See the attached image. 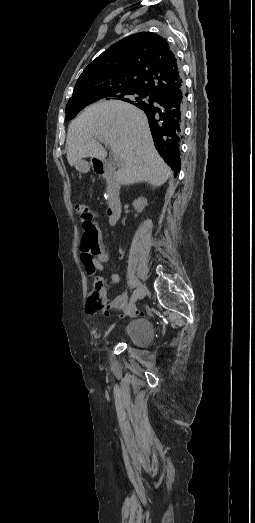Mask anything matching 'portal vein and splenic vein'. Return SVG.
I'll use <instances>...</instances> for the list:
<instances>
[{"label": "portal vein and splenic vein", "mask_w": 255, "mask_h": 523, "mask_svg": "<svg viewBox=\"0 0 255 523\" xmlns=\"http://www.w3.org/2000/svg\"><path fill=\"white\" fill-rule=\"evenodd\" d=\"M115 156H116V154H115ZM114 162H117V164L115 166V171H120V169L123 167L121 158H118V156H116V158H114Z\"/></svg>", "instance_id": "portal-vein-and-splenic-vein-1"}]
</instances>
